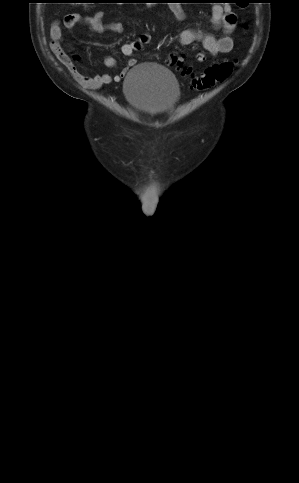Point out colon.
Instances as JSON below:
<instances>
[{
    "instance_id": "obj_1",
    "label": "colon",
    "mask_w": 299,
    "mask_h": 483,
    "mask_svg": "<svg viewBox=\"0 0 299 483\" xmlns=\"http://www.w3.org/2000/svg\"><path fill=\"white\" fill-rule=\"evenodd\" d=\"M171 61L174 65L180 67L183 75L190 81L192 87L196 89H207L219 82H223L230 76L234 69L233 61H223L212 64L203 74L197 75L190 67L183 65L180 56L172 55Z\"/></svg>"
}]
</instances>
